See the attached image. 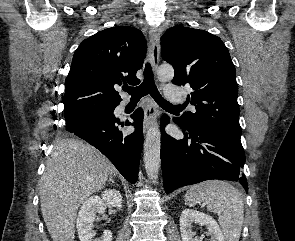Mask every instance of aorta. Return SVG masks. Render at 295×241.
<instances>
[{"label":"aorta","mask_w":295,"mask_h":241,"mask_svg":"<svg viewBox=\"0 0 295 241\" xmlns=\"http://www.w3.org/2000/svg\"><path fill=\"white\" fill-rule=\"evenodd\" d=\"M161 81H169L174 77V69L171 65H161L157 71ZM161 135L158 125H154L147 131L144 142V164L150 180L156 183L160 168Z\"/></svg>","instance_id":"obj_1"}]
</instances>
